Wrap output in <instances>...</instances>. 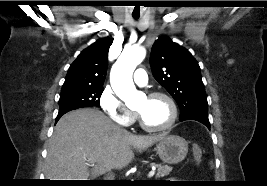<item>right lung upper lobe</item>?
Listing matches in <instances>:
<instances>
[{
  "label": "right lung upper lobe",
  "mask_w": 267,
  "mask_h": 186,
  "mask_svg": "<svg viewBox=\"0 0 267 186\" xmlns=\"http://www.w3.org/2000/svg\"><path fill=\"white\" fill-rule=\"evenodd\" d=\"M111 44L106 37L84 49L70 65L63 87H103Z\"/></svg>",
  "instance_id": "1"
}]
</instances>
